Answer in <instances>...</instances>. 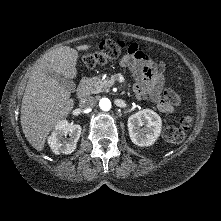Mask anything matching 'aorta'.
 <instances>
[{
    "label": "aorta",
    "instance_id": "obj_1",
    "mask_svg": "<svg viewBox=\"0 0 221 221\" xmlns=\"http://www.w3.org/2000/svg\"><path fill=\"white\" fill-rule=\"evenodd\" d=\"M99 106L102 110L108 111L111 108V101L108 98H102L99 101Z\"/></svg>",
    "mask_w": 221,
    "mask_h": 221
}]
</instances>
